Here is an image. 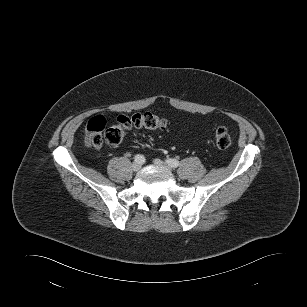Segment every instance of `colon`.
I'll return each mask as SVG.
<instances>
[{
	"label": "colon",
	"instance_id": "obj_1",
	"mask_svg": "<svg viewBox=\"0 0 307 307\" xmlns=\"http://www.w3.org/2000/svg\"><path fill=\"white\" fill-rule=\"evenodd\" d=\"M106 121L102 116L91 118L86 125V141L93 147H99L103 141L109 145H118L126 133L133 128L150 130H162L167 126L165 119L157 115L145 112L131 116L121 115L117 121L105 129ZM214 140L218 148L227 149L232 143L231 136L226 128L219 127L215 131Z\"/></svg>",
	"mask_w": 307,
	"mask_h": 307
}]
</instances>
